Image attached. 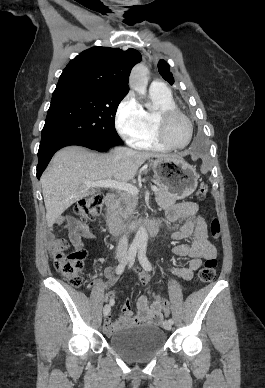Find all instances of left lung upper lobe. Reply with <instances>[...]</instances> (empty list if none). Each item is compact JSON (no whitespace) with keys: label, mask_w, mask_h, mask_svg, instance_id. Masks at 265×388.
Instances as JSON below:
<instances>
[{"label":"left lung upper lobe","mask_w":265,"mask_h":388,"mask_svg":"<svg viewBox=\"0 0 265 388\" xmlns=\"http://www.w3.org/2000/svg\"><path fill=\"white\" fill-rule=\"evenodd\" d=\"M158 70H159V73L161 74V76L166 81H168L171 85L174 83L173 75L170 72V66H169V64L166 61H164V60H160L159 61V63H158Z\"/></svg>","instance_id":"left-lung-upper-lobe-1"}]
</instances>
